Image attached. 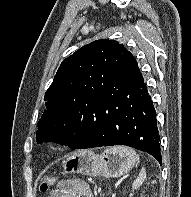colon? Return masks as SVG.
Instances as JSON below:
<instances>
[{"label": "colon", "instance_id": "colon-1", "mask_svg": "<svg viewBox=\"0 0 191 197\" xmlns=\"http://www.w3.org/2000/svg\"><path fill=\"white\" fill-rule=\"evenodd\" d=\"M56 182V178L54 176L45 177L40 185V190L42 192H47Z\"/></svg>", "mask_w": 191, "mask_h": 197}]
</instances>
